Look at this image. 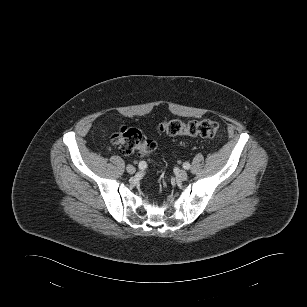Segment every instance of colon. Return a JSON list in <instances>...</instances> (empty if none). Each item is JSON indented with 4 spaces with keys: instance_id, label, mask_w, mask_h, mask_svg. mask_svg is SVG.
Returning <instances> with one entry per match:
<instances>
[{
    "instance_id": "5ec220e1",
    "label": "colon",
    "mask_w": 307,
    "mask_h": 307,
    "mask_svg": "<svg viewBox=\"0 0 307 307\" xmlns=\"http://www.w3.org/2000/svg\"><path fill=\"white\" fill-rule=\"evenodd\" d=\"M159 130L168 136L213 138L217 135L219 127L215 121L210 119L188 122L172 119L162 122ZM110 140L125 155L137 152L140 156H149L157 146L153 139H145L139 130L128 127H121L111 135Z\"/></svg>"
}]
</instances>
